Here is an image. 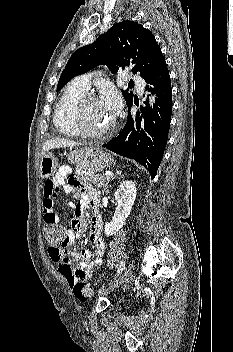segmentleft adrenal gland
Returning <instances> with one entry per match:
<instances>
[{
  "label": "left adrenal gland",
  "mask_w": 233,
  "mask_h": 352,
  "mask_svg": "<svg viewBox=\"0 0 233 352\" xmlns=\"http://www.w3.org/2000/svg\"><path fill=\"white\" fill-rule=\"evenodd\" d=\"M117 175L121 176V172L120 171H117ZM110 180L107 181V183H109ZM106 183V184H107ZM106 186V185H105Z\"/></svg>",
  "instance_id": "a2214340"
}]
</instances>
